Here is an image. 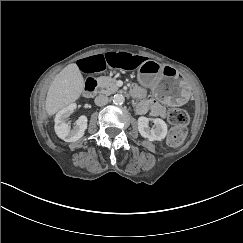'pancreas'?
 <instances>
[{
	"label": "pancreas",
	"instance_id": "cf45deb5",
	"mask_svg": "<svg viewBox=\"0 0 243 243\" xmlns=\"http://www.w3.org/2000/svg\"><path fill=\"white\" fill-rule=\"evenodd\" d=\"M98 85L102 86L105 94H112L117 92L118 86L116 85V78L110 76H100L96 79Z\"/></svg>",
	"mask_w": 243,
	"mask_h": 243
}]
</instances>
